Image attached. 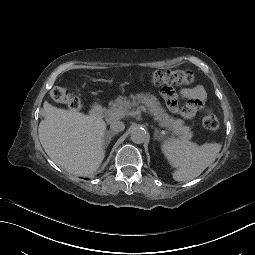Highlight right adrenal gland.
Returning a JSON list of instances; mask_svg holds the SVG:
<instances>
[{
	"label": "right adrenal gland",
	"instance_id": "2a0ac1e0",
	"mask_svg": "<svg viewBox=\"0 0 255 255\" xmlns=\"http://www.w3.org/2000/svg\"><path fill=\"white\" fill-rule=\"evenodd\" d=\"M114 135H116V133H115V132H112V131H110V132L107 133V135H106V137H105V139H104V146H105V147H107V146L109 145V143H110V141H111V139H112V137H113Z\"/></svg>",
	"mask_w": 255,
	"mask_h": 255
}]
</instances>
